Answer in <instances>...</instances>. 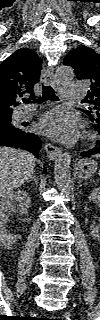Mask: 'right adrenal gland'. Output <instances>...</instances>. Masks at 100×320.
<instances>
[{"label":"right adrenal gland","mask_w":100,"mask_h":320,"mask_svg":"<svg viewBox=\"0 0 100 320\" xmlns=\"http://www.w3.org/2000/svg\"><path fill=\"white\" fill-rule=\"evenodd\" d=\"M30 181H34L35 184H36V186H38V181H37L35 175H33L30 179H28V180H27V183H29Z\"/></svg>","instance_id":"1"}]
</instances>
